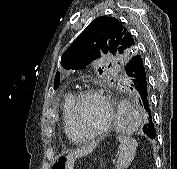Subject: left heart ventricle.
<instances>
[{
	"label": "left heart ventricle",
	"instance_id": "1",
	"mask_svg": "<svg viewBox=\"0 0 177 169\" xmlns=\"http://www.w3.org/2000/svg\"><path fill=\"white\" fill-rule=\"evenodd\" d=\"M106 111L102 102L93 96L84 98L78 108V135L85 136L97 131L104 123Z\"/></svg>",
	"mask_w": 177,
	"mask_h": 169
}]
</instances>
